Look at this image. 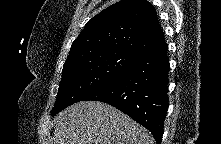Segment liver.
Here are the masks:
<instances>
[{
	"label": "liver",
	"instance_id": "1",
	"mask_svg": "<svg viewBox=\"0 0 221 144\" xmlns=\"http://www.w3.org/2000/svg\"><path fill=\"white\" fill-rule=\"evenodd\" d=\"M54 122V144H154L144 127L102 102L71 105Z\"/></svg>",
	"mask_w": 221,
	"mask_h": 144
}]
</instances>
